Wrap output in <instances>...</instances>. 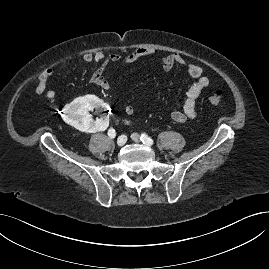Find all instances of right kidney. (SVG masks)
<instances>
[{
    "label": "right kidney",
    "mask_w": 269,
    "mask_h": 269,
    "mask_svg": "<svg viewBox=\"0 0 269 269\" xmlns=\"http://www.w3.org/2000/svg\"><path fill=\"white\" fill-rule=\"evenodd\" d=\"M105 115L108 107L96 96L87 95L77 98L68 104L61 112L60 117L76 129L84 132H103L109 128L108 117L93 120L89 111Z\"/></svg>",
    "instance_id": "1"
}]
</instances>
